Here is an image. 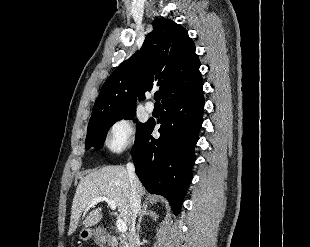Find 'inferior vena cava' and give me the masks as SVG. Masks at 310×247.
<instances>
[{
  "instance_id": "inferior-vena-cava-1",
  "label": "inferior vena cava",
  "mask_w": 310,
  "mask_h": 247,
  "mask_svg": "<svg viewBox=\"0 0 310 247\" xmlns=\"http://www.w3.org/2000/svg\"><path fill=\"white\" fill-rule=\"evenodd\" d=\"M128 177L131 183V216L130 225L128 233V246L127 247H138L139 245V235L136 232V217L141 208V196L139 193V180L135 174V167L133 163H128L126 165Z\"/></svg>"
}]
</instances>
